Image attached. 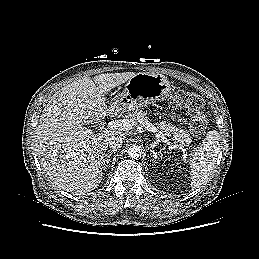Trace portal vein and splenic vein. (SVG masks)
<instances>
[{
  "label": "portal vein and splenic vein",
  "mask_w": 259,
  "mask_h": 259,
  "mask_svg": "<svg viewBox=\"0 0 259 259\" xmlns=\"http://www.w3.org/2000/svg\"><path fill=\"white\" fill-rule=\"evenodd\" d=\"M148 131L151 132H158L156 127L153 126L150 122H148L147 120H140L139 121ZM135 125V122L130 120V119H120V120H112L110 122H108L107 127L109 129H115V130H123V131H128L131 130L133 128V126ZM157 139H160L163 143L166 144H171V142L169 141V139H167L163 133L158 132L156 134Z\"/></svg>",
  "instance_id": "1"
}]
</instances>
